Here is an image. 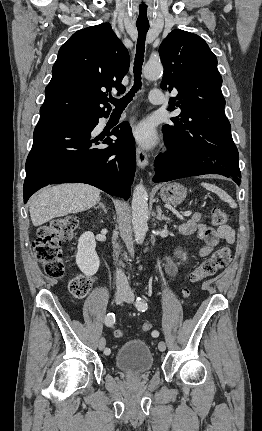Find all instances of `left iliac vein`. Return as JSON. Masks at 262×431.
Instances as JSON below:
<instances>
[{"label": "left iliac vein", "instance_id": "1", "mask_svg": "<svg viewBox=\"0 0 262 431\" xmlns=\"http://www.w3.org/2000/svg\"><path fill=\"white\" fill-rule=\"evenodd\" d=\"M133 300H134V297H133V295H132V294L127 295V297L125 298V302H127V303H132V302H133ZM158 349H159L161 352L165 351V349H166V344H165V342H164V341H160V342H159V344H158Z\"/></svg>", "mask_w": 262, "mask_h": 431}]
</instances>
